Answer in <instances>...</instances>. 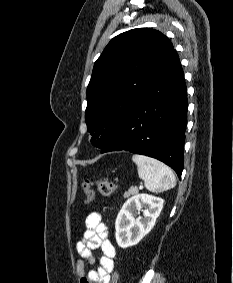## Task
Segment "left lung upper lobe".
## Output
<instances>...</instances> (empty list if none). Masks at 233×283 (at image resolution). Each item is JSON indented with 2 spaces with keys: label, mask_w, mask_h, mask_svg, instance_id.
Masks as SVG:
<instances>
[{
  "label": "left lung upper lobe",
  "mask_w": 233,
  "mask_h": 283,
  "mask_svg": "<svg viewBox=\"0 0 233 283\" xmlns=\"http://www.w3.org/2000/svg\"><path fill=\"white\" fill-rule=\"evenodd\" d=\"M174 49L161 32L137 28L114 37L96 60L87 87L85 120L103 149L117 134L152 73Z\"/></svg>",
  "instance_id": "5c2ea615"
}]
</instances>
